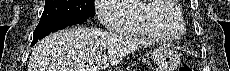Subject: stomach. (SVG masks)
Wrapping results in <instances>:
<instances>
[{"label":"stomach","mask_w":230,"mask_h":71,"mask_svg":"<svg viewBox=\"0 0 230 71\" xmlns=\"http://www.w3.org/2000/svg\"><path fill=\"white\" fill-rule=\"evenodd\" d=\"M152 58L160 71H173L179 64L178 54L168 48H162L153 52Z\"/></svg>","instance_id":"0dacf381"}]
</instances>
